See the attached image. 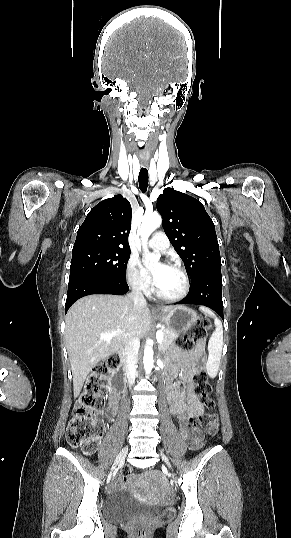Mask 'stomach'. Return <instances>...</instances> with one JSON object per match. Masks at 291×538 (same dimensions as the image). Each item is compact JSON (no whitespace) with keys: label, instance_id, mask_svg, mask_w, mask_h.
Returning a JSON list of instances; mask_svg holds the SVG:
<instances>
[{"label":"stomach","instance_id":"1","mask_svg":"<svg viewBox=\"0 0 291 538\" xmlns=\"http://www.w3.org/2000/svg\"><path fill=\"white\" fill-rule=\"evenodd\" d=\"M158 318L165 323L167 329L181 333L188 330L197 320L195 311L184 306H177L172 310L159 314Z\"/></svg>","mask_w":291,"mask_h":538}]
</instances>
